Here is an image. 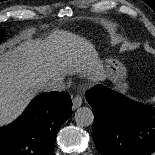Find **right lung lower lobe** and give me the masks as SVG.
Listing matches in <instances>:
<instances>
[{"label": "right lung lower lobe", "mask_w": 155, "mask_h": 155, "mask_svg": "<svg viewBox=\"0 0 155 155\" xmlns=\"http://www.w3.org/2000/svg\"><path fill=\"white\" fill-rule=\"evenodd\" d=\"M67 92L35 97L13 123L0 127V155H51L57 132L70 117Z\"/></svg>", "instance_id": "obj_1"}]
</instances>
